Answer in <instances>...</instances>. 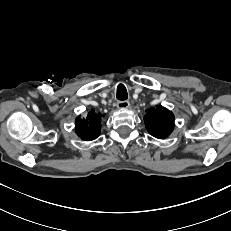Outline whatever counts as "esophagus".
I'll return each instance as SVG.
<instances>
[{"instance_id":"esophagus-1","label":"esophagus","mask_w":231,"mask_h":231,"mask_svg":"<svg viewBox=\"0 0 231 231\" xmlns=\"http://www.w3.org/2000/svg\"><path fill=\"white\" fill-rule=\"evenodd\" d=\"M117 107L119 109H127L130 107V102L128 100L118 101Z\"/></svg>"}]
</instances>
